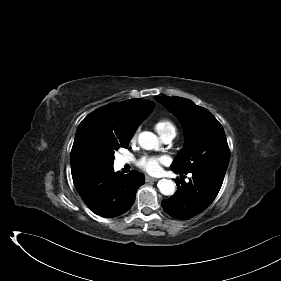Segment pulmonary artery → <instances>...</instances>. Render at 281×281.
I'll return each instance as SVG.
<instances>
[{"label": "pulmonary artery", "mask_w": 281, "mask_h": 281, "mask_svg": "<svg viewBox=\"0 0 281 281\" xmlns=\"http://www.w3.org/2000/svg\"><path fill=\"white\" fill-rule=\"evenodd\" d=\"M174 136H175L174 134H168V135L162 137V139L164 142L169 143L173 140ZM126 162H127L126 159L122 160V164H125Z\"/></svg>", "instance_id": "obj_1"}]
</instances>
